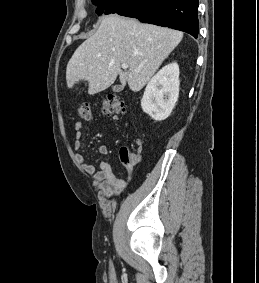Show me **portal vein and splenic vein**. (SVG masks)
Here are the masks:
<instances>
[{
    "label": "portal vein and splenic vein",
    "mask_w": 259,
    "mask_h": 283,
    "mask_svg": "<svg viewBox=\"0 0 259 283\" xmlns=\"http://www.w3.org/2000/svg\"><path fill=\"white\" fill-rule=\"evenodd\" d=\"M121 67H122L123 69H127V68H128V65L124 63V64L121 65ZM134 71H140V69H135Z\"/></svg>",
    "instance_id": "1"
}]
</instances>
